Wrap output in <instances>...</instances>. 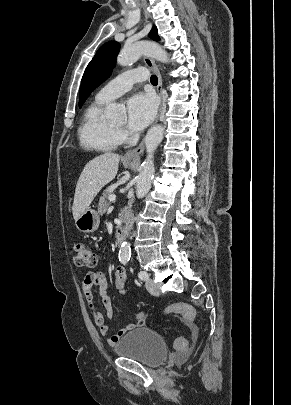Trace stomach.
Here are the masks:
<instances>
[{
    "instance_id": "stomach-1",
    "label": "stomach",
    "mask_w": 291,
    "mask_h": 405,
    "mask_svg": "<svg viewBox=\"0 0 291 405\" xmlns=\"http://www.w3.org/2000/svg\"><path fill=\"white\" fill-rule=\"evenodd\" d=\"M100 217L96 210L87 208L75 221L77 229L81 232L90 233L98 229Z\"/></svg>"
}]
</instances>
